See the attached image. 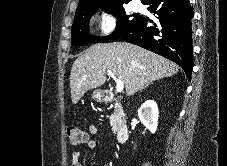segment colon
<instances>
[{"instance_id":"colon-1","label":"colon","mask_w":227,"mask_h":166,"mask_svg":"<svg viewBox=\"0 0 227 166\" xmlns=\"http://www.w3.org/2000/svg\"><path fill=\"white\" fill-rule=\"evenodd\" d=\"M68 142L71 146H79L88 142V134L77 125L67 128Z\"/></svg>"}]
</instances>
